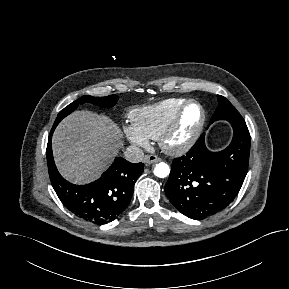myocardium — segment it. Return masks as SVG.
I'll return each mask as SVG.
<instances>
[{"instance_id":"obj_1","label":"myocardium","mask_w":289,"mask_h":289,"mask_svg":"<svg viewBox=\"0 0 289 289\" xmlns=\"http://www.w3.org/2000/svg\"><path fill=\"white\" fill-rule=\"evenodd\" d=\"M196 105L200 110V119L192 133L182 141L175 140L187 108ZM206 110L203 105L194 99L186 100L179 108L174 118L159 137L160 147L168 154L181 155L187 152L200 138L206 124Z\"/></svg>"}]
</instances>
